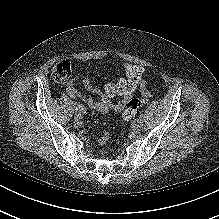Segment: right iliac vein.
Listing matches in <instances>:
<instances>
[{
  "label": "right iliac vein",
  "mask_w": 219,
  "mask_h": 219,
  "mask_svg": "<svg viewBox=\"0 0 219 219\" xmlns=\"http://www.w3.org/2000/svg\"><path fill=\"white\" fill-rule=\"evenodd\" d=\"M81 113H82V111H80V110L75 112V114H74L75 120L79 121L81 119V117H82Z\"/></svg>",
  "instance_id": "right-iliac-vein-1"
}]
</instances>
